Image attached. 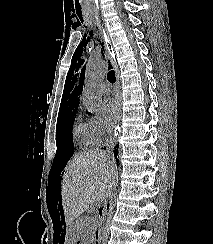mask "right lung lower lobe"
<instances>
[{"label": "right lung lower lobe", "instance_id": "1", "mask_svg": "<svg viewBox=\"0 0 213 244\" xmlns=\"http://www.w3.org/2000/svg\"><path fill=\"white\" fill-rule=\"evenodd\" d=\"M118 147V145L117 146H115V148H117ZM117 153H118V150L117 149H115L114 150V155H115V158H117ZM118 161V160H117Z\"/></svg>", "mask_w": 213, "mask_h": 244}]
</instances>
